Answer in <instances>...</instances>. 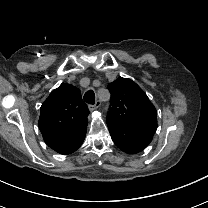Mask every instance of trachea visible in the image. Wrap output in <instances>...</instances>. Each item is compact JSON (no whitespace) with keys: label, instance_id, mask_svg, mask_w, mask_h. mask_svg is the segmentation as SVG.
<instances>
[{"label":"trachea","instance_id":"trachea-1","mask_svg":"<svg viewBox=\"0 0 208 208\" xmlns=\"http://www.w3.org/2000/svg\"><path fill=\"white\" fill-rule=\"evenodd\" d=\"M83 99H84L85 102H87L88 104H95V93L93 92V90L87 91V92L84 94Z\"/></svg>","mask_w":208,"mask_h":208}]
</instances>
